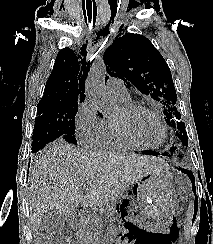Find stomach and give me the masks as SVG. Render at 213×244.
<instances>
[{"instance_id":"1","label":"stomach","mask_w":213,"mask_h":244,"mask_svg":"<svg viewBox=\"0 0 213 244\" xmlns=\"http://www.w3.org/2000/svg\"><path fill=\"white\" fill-rule=\"evenodd\" d=\"M131 191L138 198L148 223L170 217L177 208V191L163 172L143 177L131 186Z\"/></svg>"}]
</instances>
